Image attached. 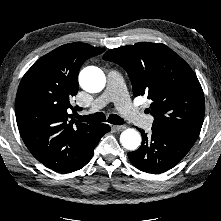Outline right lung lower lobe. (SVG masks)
Instances as JSON below:
<instances>
[{"mask_svg":"<svg viewBox=\"0 0 221 221\" xmlns=\"http://www.w3.org/2000/svg\"><path fill=\"white\" fill-rule=\"evenodd\" d=\"M110 131V126L107 124H98L95 127L93 135L80 144L77 155L74 159L66 161V164L52 168L59 173H70L84 167L92 158L94 148L103 137L104 134Z\"/></svg>","mask_w":221,"mask_h":221,"instance_id":"98d812e1","label":"right lung lower lobe"}]
</instances>
